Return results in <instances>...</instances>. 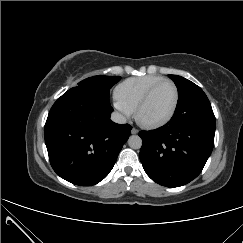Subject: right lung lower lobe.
<instances>
[{
  "instance_id": "right-lung-lower-lobe-1",
  "label": "right lung lower lobe",
  "mask_w": 243,
  "mask_h": 243,
  "mask_svg": "<svg viewBox=\"0 0 243 243\" xmlns=\"http://www.w3.org/2000/svg\"><path fill=\"white\" fill-rule=\"evenodd\" d=\"M110 101L88 91H67L52 106L45 143L54 171L66 181L91 186L113 168L130 136L129 124L111 121Z\"/></svg>"
}]
</instances>
